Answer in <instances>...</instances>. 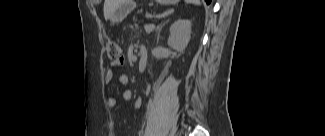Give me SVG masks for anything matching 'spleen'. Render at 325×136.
Returning a JSON list of instances; mask_svg holds the SVG:
<instances>
[{"mask_svg":"<svg viewBox=\"0 0 325 136\" xmlns=\"http://www.w3.org/2000/svg\"><path fill=\"white\" fill-rule=\"evenodd\" d=\"M188 3H193V4H197V5H199L200 4V2L199 1H197V0H194V1H187Z\"/></svg>","mask_w":325,"mask_h":136,"instance_id":"1","label":"spleen"}]
</instances>
